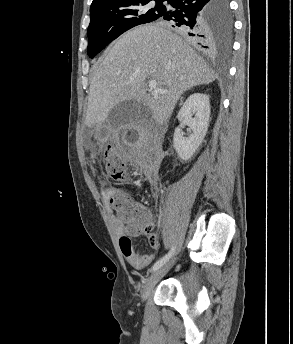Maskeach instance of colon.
Listing matches in <instances>:
<instances>
[{
    "label": "colon",
    "mask_w": 293,
    "mask_h": 344,
    "mask_svg": "<svg viewBox=\"0 0 293 344\" xmlns=\"http://www.w3.org/2000/svg\"><path fill=\"white\" fill-rule=\"evenodd\" d=\"M130 140L136 139L134 131L128 133ZM103 164L107 173L116 180H125L129 177V170L125 161L114 150L107 148L103 152ZM110 205L118 219L130 232L135 234H152V224L147 210L134 202L122 192H115L110 198Z\"/></svg>",
    "instance_id": "1"
}]
</instances>
